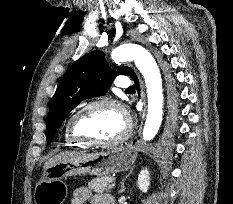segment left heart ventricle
Returning <instances> with one entry per match:
<instances>
[{
  "instance_id": "1",
  "label": "left heart ventricle",
  "mask_w": 233,
  "mask_h": 204,
  "mask_svg": "<svg viewBox=\"0 0 233 204\" xmlns=\"http://www.w3.org/2000/svg\"><path fill=\"white\" fill-rule=\"evenodd\" d=\"M125 124L121 114L113 107L98 106L84 112L77 120V132L91 140L109 141L118 137Z\"/></svg>"
}]
</instances>
